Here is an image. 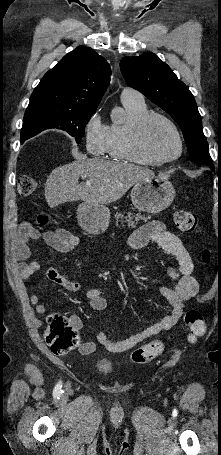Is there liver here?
<instances>
[{"label":"liver","instance_id":"6515ba94","mask_svg":"<svg viewBox=\"0 0 221 455\" xmlns=\"http://www.w3.org/2000/svg\"><path fill=\"white\" fill-rule=\"evenodd\" d=\"M88 180L79 184V178ZM154 172L125 162L87 159L52 170L45 183V199L50 208L82 200L88 204H108L119 200L134 184Z\"/></svg>","mask_w":221,"mask_h":455}]
</instances>
